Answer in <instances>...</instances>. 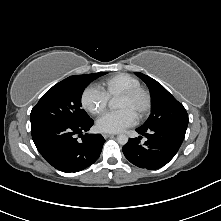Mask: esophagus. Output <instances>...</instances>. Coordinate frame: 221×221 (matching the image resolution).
<instances>
[{"mask_svg":"<svg viewBox=\"0 0 221 221\" xmlns=\"http://www.w3.org/2000/svg\"><path fill=\"white\" fill-rule=\"evenodd\" d=\"M102 135L105 139L114 136V134H111V133H103Z\"/></svg>","mask_w":221,"mask_h":221,"instance_id":"obj_1","label":"esophagus"}]
</instances>
